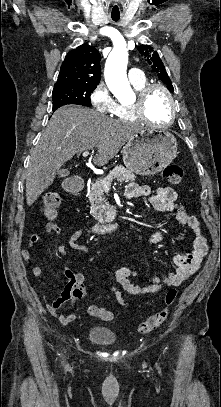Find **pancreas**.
<instances>
[{
    "label": "pancreas",
    "mask_w": 221,
    "mask_h": 407,
    "mask_svg": "<svg viewBox=\"0 0 221 407\" xmlns=\"http://www.w3.org/2000/svg\"><path fill=\"white\" fill-rule=\"evenodd\" d=\"M135 178L136 176L131 170L119 165L110 171L106 177L91 184L88 194L91 205L90 214L96 221L99 223L111 222L114 216L112 208H110L104 198V188L102 187L101 180L112 181L116 179L118 182H130L134 181Z\"/></svg>",
    "instance_id": "cf45deb5"
}]
</instances>
